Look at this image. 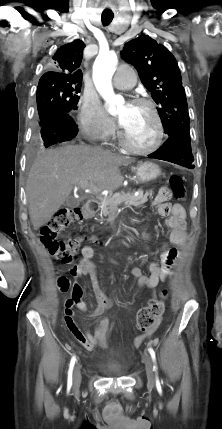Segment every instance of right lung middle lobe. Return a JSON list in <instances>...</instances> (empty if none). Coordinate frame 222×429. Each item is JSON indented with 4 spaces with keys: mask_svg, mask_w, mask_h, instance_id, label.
Here are the masks:
<instances>
[{
    "mask_svg": "<svg viewBox=\"0 0 222 429\" xmlns=\"http://www.w3.org/2000/svg\"><path fill=\"white\" fill-rule=\"evenodd\" d=\"M81 82L70 80H40L37 93L39 125L60 114H71L77 109Z\"/></svg>",
    "mask_w": 222,
    "mask_h": 429,
    "instance_id": "dd1d6c3e",
    "label": "right lung middle lobe"
}]
</instances>
